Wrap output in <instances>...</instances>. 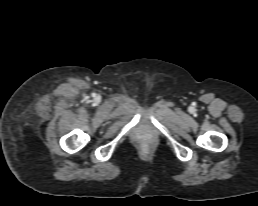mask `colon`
Segmentation results:
<instances>
[{"label": "colon", "instance_id": "colon-1", "mask_svg": "<svg viewBox=\"0 0 258 206\" xmlns=\"http://www.w3.org/2000/svg\"><path fill=\"white\" fill-rule=\"evenodd\" d=\"M146 147V145H143V148H145Z\"/></svg>", "mask_w": 258, "mask_h": 206}]
</instances>
